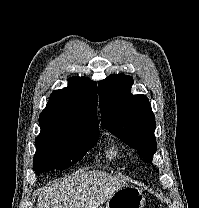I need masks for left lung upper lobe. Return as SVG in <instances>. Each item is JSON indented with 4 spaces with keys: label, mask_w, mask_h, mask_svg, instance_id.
I'll list each match as a JSON object with an SVG mask.
<instances>
[{
    "label": "left lung upper lobe",
    "mask_w": 199,
    "mask_h": 208,
    "mask_svg": "<svg viewBox=\"0 0 199 208\" xmlns=\"http://www.w3.org/2000/svg\"><path fill=\"white\" fill-rule=\"evenodd\" d=\"M133 79L114 74L99 82L101 126L136 149L145 162L156 152L155 116L145 95H132Z\"/></svg>",
    "instance_id": "1"
}]
</instances>
